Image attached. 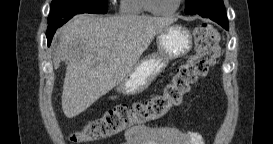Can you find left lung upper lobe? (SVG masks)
<instances>
[{"label":"left lung upper lobe","instance_id":"left-lung-upper-lobe-1","mask_svg":"<svg viewBox=\"0 0 273 144\" xmlns=\"http://www.w3.org/2000/svg\"><path fill=\"white\" fill-rule=\"evenodd\" d=\"M187 0L185 14L194 15L197 11L210 7V5H216L220 8H224L223 0Z\"/></svg>","mask_w":273,"mask_h":144}]
</instances>
